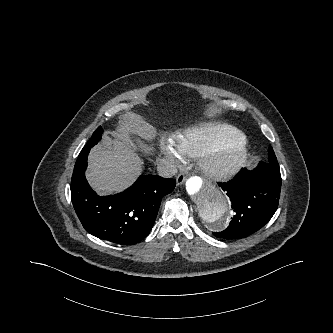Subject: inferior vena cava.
I'll return each instance as SVG.
<instances>
[{"mask_svg":"<svg viewBox=\"0 0 333 333\" xmlns=\"http://www.w3.org/2000/svg\"><path fill=\"white\" fill-rule=\"evenodd\" d=\"M157 171L161 177L170 178L176 175L177 168L171 160L162 159L157 164Z\"/></svg>","mask_w":333,"mask_h":333,"instance_id":"602c4592","label":"inferior vena cava"}]
</instances>
